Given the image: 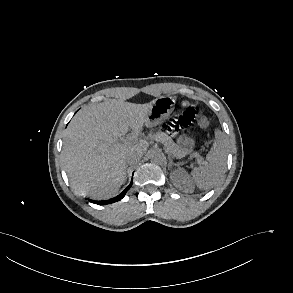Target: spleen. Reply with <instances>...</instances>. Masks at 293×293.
<instances>
[{
    "mask_svg": "<svg viewBox=\"0 0 293 293\" xmlns=\"http://www.w3.org/2000/svg\"><path fill=\"white\" fill-rule=\"evenodd\" d=\"M226 159V139L221 130L216 129L215 140L206 155V161L191 172L192 181L200 189L211 188L225 171Z\"/></svg>",
    "mask_w": 293,
    "mask_h": 293,
    "instance_id": "obj_1",
    "label": "spleen"
}]
</instances>
